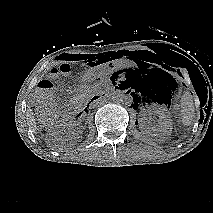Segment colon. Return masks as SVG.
I'll list each match as a JSON object with an SVG mask.
<instances>
[{
  "instance_id": "obj_1",
  "label": "colon",
  "mask_w": 213,
  "mask_h": 213,
  "mask_svg": "<svg viewBox=\"0 0 213 213\" xmlns=\"http://www.w3.org/2000/svg\"><path fill=\"white\" fill-rule=\"evenodd\" d=\"M76 69H80L79 67H76ZM73 68L70 64L68 63H63L59 67L52 69L51 73L56 76V75H65L68 76L72 73ZM39 112L42 114H47L50 113L53 110L54 106V97L52 95V88L53 85L50 81L47 80H42L39 85ZM141 102V99L138 100Z\"/></svg>"
}]
</instances>
